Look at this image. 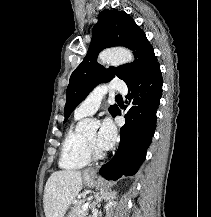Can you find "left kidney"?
<instances>
[{"instance_id": "left-kidney-1", "label": "left kidney", "mask_w": 211, "mask_h": 217, "mask_svg": "<svg viewBox=\"0 0 211 217\" xmlns=\"http://www.w3.org/2000/svg\"><path fill=\"white\" fill-rule=\"evenodd\" d=\"M112 205H114V202H113V201H109V202L106 204V206H105L106 210H109V208H110Z\"/></svg>"}]
</instances>
